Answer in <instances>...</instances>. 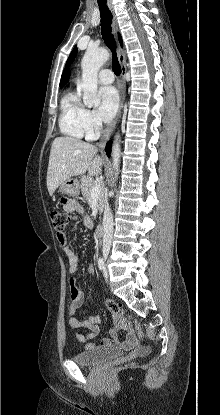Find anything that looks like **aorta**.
Returning a JSON list of instances; mask_svg holds the SVG:
<instances>
[{
  "label": "aorta",
  "instance_id": "762f6f07",
  "mask_svg": "<svg viewBox=\"0 0 220 415\" xmlns=\"http://www.w3.org/2000/svg\"><path fill=\"white\" fill-rule=\"evenodd\" d=\"M109 59V52L106 49H87L82 62V82L83 102L86 106H98L100 97L97 94L98 71L101 66ZM112 164L115 176H118L120 165V136L116 135L112 146ZM113 195V192H111Z\"/></svg>",
  "mask_w": 220,
  "mask_h": 415
}]
</instances>
